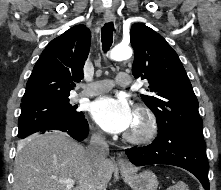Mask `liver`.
<instances>
[{"instance_id":"liver-1","label":"liver","mask_w":221,"mask_h":190,"mask_svg":"<svg viewBox=\"0 0 221 190\" xmlns=\"http://www.w3.org/2000/svg\"><path fill=\"white\" fill-rule=\"evenodd\" d=\"M113 171L111 160L94 164L65 133L36 134L18 145L13 190H106ZM66 178L76 186L59 182Z\"/></svg>"}]
</instances>
